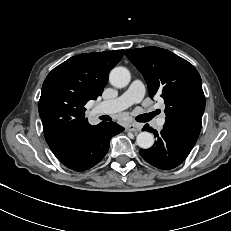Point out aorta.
<instances>
[{
  "label": "aorta",
  "mask_w": 231,
  "mask_h": 231,
  "mask_svg": "<svg viewBox=\"0 0 231 231\" xmlns=\"http://www.w3.org/2000/svg\"><path fill=\"white\" fill-rule=\"evenodd\" d=\"M130 80V72L125 67H115L109 74L110 83L117 88H123L127 86ZM136 142L140 148L149 149L154 144V136L150 132L143 131L137 135Z\"/></svg>",
  "instance_id": "1"
}]
</instances>
